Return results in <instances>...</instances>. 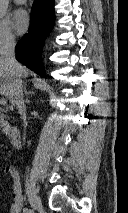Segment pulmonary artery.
I'll use <instances>...</instances> for the list:
<instances>
[{"label": "pulmonary artery", "instance_id": "pulmonary-artery-1", "mask_svg": "<svg viewBox=\"0 0 128 213\" xmlns=\"http://www.w3.org/2000/svg\"><path fill=\"white\" fill-rule=\"evenodd\" d=\"M27 0H14L16 4H24Z\"/></svg>", "mask_w": 128, "mask_h": 213}]
</instances>
